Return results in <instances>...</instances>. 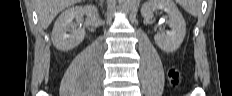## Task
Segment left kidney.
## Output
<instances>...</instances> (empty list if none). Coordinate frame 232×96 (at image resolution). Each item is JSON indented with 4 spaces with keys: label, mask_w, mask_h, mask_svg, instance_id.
Wrapping results in <instances>:
<instances>
[{
    "label": "left kidney",
    "mask_w": 232,
    "mask_h": 96,
    "mask_svg": "<svg viewBox=\"0 0 232 96\" xmlns=\"http://www.w3.org/2000/svg\"><path fill=\"white\" fill-rule=\"evenodd\" d=\"M164 10L168 14L170 31L160 30L155 36V43L165 52H173L182 44L186 34V23L172 0H148L142 5L141 14L145 18H153L154 12Z\"/></svg>",
    "instance_id": "left-kidney-1"
}]
</instances>
